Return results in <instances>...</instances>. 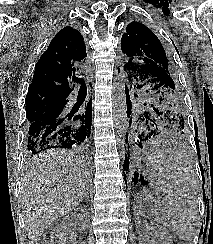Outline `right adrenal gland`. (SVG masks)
Here are the masks:
<instances>
[{
    "mask_svg": "<svg viewBox=\"0 0 213 244\" xmlns=\"http://www.w3.org/2000/svg\"><path fill=\"white\" fill-rule=\"evenodd\" d=\"M83 199L88 200V187H86V190H85V194H84Z\"/></svg>",
    "mask_w": 213,
    "mask_h": 244,
    "instance_id": "right-adrenal-gland-1",
    "label": "right adrenal gland"
}]
</instances>
